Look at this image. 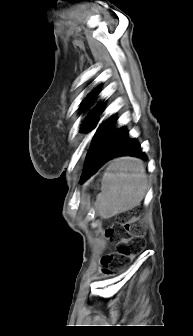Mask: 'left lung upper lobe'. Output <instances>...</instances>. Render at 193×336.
<instances>
[{"label": "left lung upper lobe", "instance_id": "5c2ea615", "mask_svg": "<svg viewBox=\"0 0 193 336\" xmlns=\"http://www.w3.org/2000/svg\"><path fill=\"white\" fill-rule=\"evenodd\" d=\"M98 87L95 88L87 97L86 99L83 101V110H85L86 108H88L93 100V96L95 94V92L97 91ZM102 107L101 104L97 105L96 107L93 108V110L90 112V114L88 115L85 124L83 126L82 129H85L87 131H90L91 129H93L95 127V124L97 123L98 120V115L101 112Z\"/></svg>", "mask_w": 193, "mask_h": 336}]
</instances>
